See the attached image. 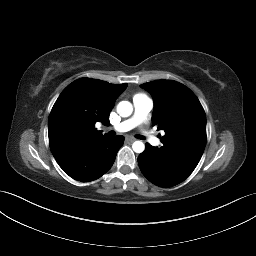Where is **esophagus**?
<instances>
[{"instance_id": "esophagus-1", "label": "esophagus", "mask_w": 256, "mask_h": 256, "mask_svg": "<svg viewBox=\"0 0 256 256\" xmlns=\"http://www.w3.org/2000/svg\"><path fill=\"white\" fill-rule=\"evenodd\" d=\"M126 141H127V142H130V143H133V142L135 141V139H134V138H131V137H128V138H126Z\"/></svg>"}]
</instances>
